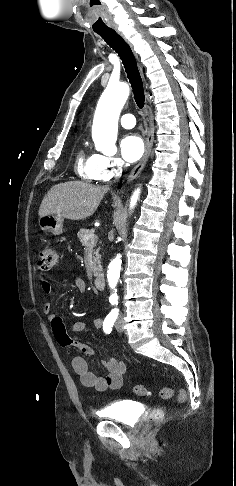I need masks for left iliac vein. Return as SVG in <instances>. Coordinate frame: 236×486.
<instances>
[{
  "label": "left iliac vein",
  "mask_w": 236,
  "mask_h": 486,
  "mask_svg": "<svg viewBox=\"0 0 236 486\" xmlns=\"http://www.w3.org/2000/svg\"><path fill=\"white\" fill-rule=\"evenodd\" d=\"M115 328H116V330L118 332H122L123 331V319H122V316L121 315L116 320Z\"/></svg>",
  "instance_id": "obj_1"
}]
</instances>
